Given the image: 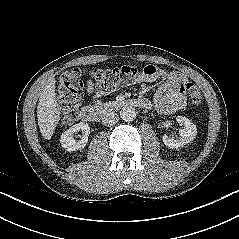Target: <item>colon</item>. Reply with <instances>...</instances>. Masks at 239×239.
Returning a JSON list of instances; mask_svg holds the SVG:
<instances>
[{
  "instance_id": "5ec220e1",
  "label": "colon",
  "mask_w": 239,
  "mask_h": 239,
  "mask_svg": "<svg viewBox=\"0 0 239 239\" xmlns=\"http://www.w3.org/2000/svg\"><path fill=\"white\" fill-rule=\"evenodd\" d=\"M86 75L92 77L97 89L110 90L131 83L137 76V70L133 66H121L89 71L74 68L64 72L59 79L57 95L61 104L63 121L67 124L77 119L82 78ZM183 88L187 91L189 101L193 106H199L202 103V94L195 85L186 84Z\"/></svg>"
}]
</instances>
